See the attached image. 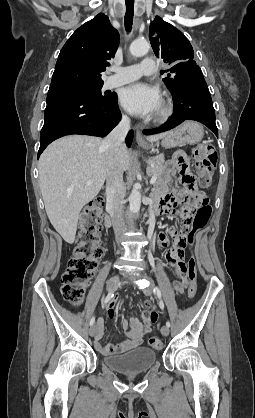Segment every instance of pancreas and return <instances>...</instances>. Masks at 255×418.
<instances>
[{
  "label": "pancreas",
  "instance_id": "pancreas-1",
  "mask_svg": "<svg viewBox=\"0 0 255 418\" xmlns=\"http://www.w3.org/2000/svg\"><path fill=\"white\" fill-rule=\"evenodd\" d=\"M148 167H147V174L149 176L156 175L157 178H159L162 174V171L164 169V155H157L153 158H150L148 161Z\"/></svg>",
  "mask_w": 255,
  "mask_h": 418
}]
</instances>
